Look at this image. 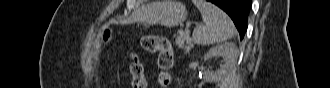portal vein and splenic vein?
Listing matches in <instances>:
<instances>
[{
  "instance_id": "portal-vein-and-splenic-vein-1",
  "label": "portal vein and splenic vein",
  "mask_w": 330,
  "mask_h": 88,
  "mask_svg": "<svg viewBox=\"0 0 330 88\" xmlns=\"http://www.w3.org/2000/svg\"><path fill=\"white\" fill-rule=\"evenodd\" d=\"M185 32H188V33H189V30H188V28H186V29H185Z\"/></svg>"
}]
</instances>
